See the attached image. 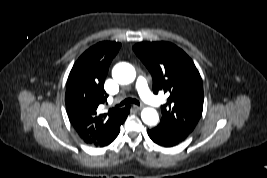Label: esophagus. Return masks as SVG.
Here are the masks:
<instances>
[{
    "mask_svg": "<svg viewBox=\"0 0 267 178\" xmlns=\"http://www.w3.org/2000/svg\"><path fill=\"white\" fill-rule=\"evenodd\" d=\"M133 107L135 109H137V110H141V109H143L144 106L143 105H139V106L138 105H134Z\"/></svg>",
    "mask_w": 267,
    "mask_h": 178,
    "instance_id": "obj_1",
    "label": "esophagus"
}]
</instances>
